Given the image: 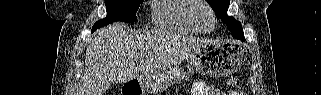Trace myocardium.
Listing matches in <instances>:
<instances>
[{"label":"myocardium","instance_id":"myocardium-1","mask_svg":"<svg viewBox=\"0 0 321 95\" xmlns=\"http://www.w3.org/2000/svg\"><path fill=\"white\" fill-rule=\"evenodd\" d=\"M194 5L190 11V18L193 22V24L195 25L196 29L200 32V33H211L214 31L215 26H216V18H215V13L213 11V9L211 8V6L203 0H194ZM199 9H206L211 17V21H212V26L210 29H204L198 22L197 20V11Z\"/></svg>","mask_w":321,"mask_h":95}]
</instances>
